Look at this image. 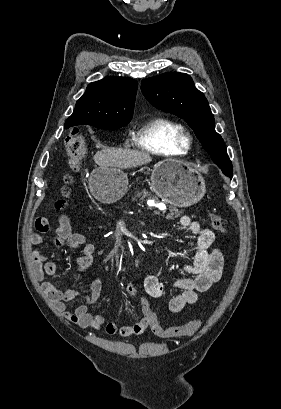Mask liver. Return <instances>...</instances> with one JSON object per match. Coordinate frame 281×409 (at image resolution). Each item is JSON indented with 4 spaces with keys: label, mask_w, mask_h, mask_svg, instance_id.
Masks as SVG:
<instances>
[{
    "label": "liver",
    "mask_w": 281,
    "mask_h": 409,
    "mask_svg": "<svg viewBox=\"0 0 281 409\" xmlns=\"http://www.w3.org/2000/svg\"><path fill=\"white\" fill-rule=\"evenodd\" d=\"M94 160L99 166H118V168H133L142 166L152 160L145 150H129V148H109L99 150L94 154Z\"/></svg>",
    "instance_id": "obj_1"
}]
</instances>
